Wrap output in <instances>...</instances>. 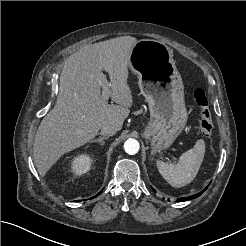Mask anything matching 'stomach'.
Listing matches in <instances>:
<instances>
[{
	"mask_svg": "<svg viewBox=\"0 0 246 246\" xmlns=\"http://www.w3.org/2000/svg\"><path fill=\"white\" fill-rule=\"evenodd\" d=\"M129 67L138 75L141 94L150 110L143 137L150 141L152 153L161 152L181 134L188 117L173 52L160 41L139 40L131 50Z\"/></svg>",
	"mask_w": 246,
	"mask_h": 246,
	"instance_id": "stomach-1",
	"label": "stomach"
}]
</instances>
